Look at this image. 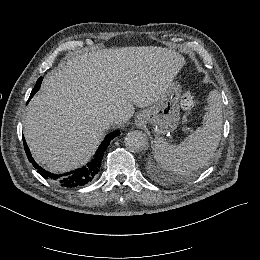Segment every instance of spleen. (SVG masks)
Returning <instances> with one entry per match:
<instances>
[{
	"label": "spleen",
	"instance_id": "1",
	"mask_svg": "<svg viewBox=\"0 0 260 260\" xmlns=\"http://www.w3.org/2000/svg\"><path fill=\"white\" fill-rule=\"evenodd\" d=\"M208 111L203 125L179 145H170L162 137L154 140V157L167 171L187 175L207 164L216 151L223 126L221 95L212 90L208 95Z\"/></svg>",
	"mask_w": 260,
	"mask_h": 260
}]
</instances>
